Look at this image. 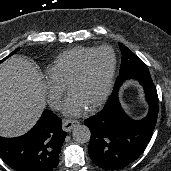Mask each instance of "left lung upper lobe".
<instances>
[{
	"mask_svg": "<svg viewBox=\"0 0 171 171\" xmlns=\"http://www.w3.org/2000/svg\"><path fill=\"white\" fill-rule=\"evenodd\" d=\"M119 47L122 52V64L113 92L108 101L118 95L121 84L127 79H136L142 85L152 83L148 67L145 63L123 44L119 43Z\"/></svg>",
	"mask_w": 171,
	"mask_h": 171,
	"instance_id": "1",
	"label": "left lung upper lobe"
}]
</instances>
